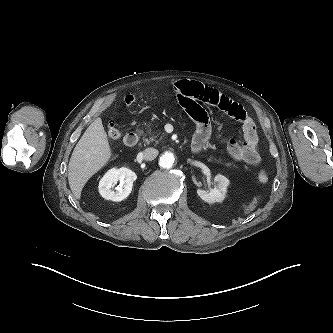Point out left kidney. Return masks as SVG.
<instances>
[{"instance_id":"obj_1","label":"left kidney","mask_w":333,"mask_h":333,"mask_svg":"<svg viewBox=\"0 0 333 333\" xmlns=\"http://www.w3.org/2000/svg\"><path fill=\"white\" fill-rule=\"evenodd\" d=\"M214 180L217 184L209 192L201 189L197 190L199 197L209 204L216 202L221 203L226 196L227 187L230 183L229 180L221 174L216 175Z\"/></svg>"}]
</instances>
